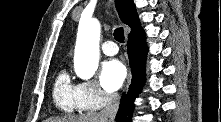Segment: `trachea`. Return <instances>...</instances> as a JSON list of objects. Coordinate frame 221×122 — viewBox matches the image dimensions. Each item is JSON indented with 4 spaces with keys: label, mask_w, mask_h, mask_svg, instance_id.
<instances>
[{
    "label": "trachea",
    "mask_w": 221,
    "mask_h": 122,
    "mask_svg": "<svg viewBox=\"0 0 221 122\" xmlns=\"http://www.w3.org/2000/svg\"><path fill=\"white\" fill-rule=\"evenodd\" d=\"M114 38L120 43H124V31L122 27L116 28L114 31Z\"/></svg>",
    "instance_id": "trachea-1"
}]
</instances>
